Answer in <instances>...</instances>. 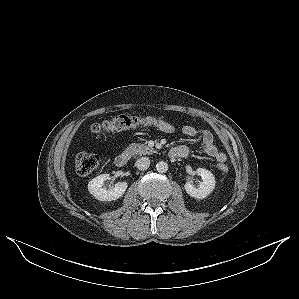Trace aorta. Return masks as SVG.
<instances>
[{
    "label": "aorta",
    "mask_w": 299,
    "mask_h": 299,
    "mask_svg": "<svg viewBox=\"0 0 299 299\" xmlns=\"http://www.w3.org/2000/svg\"><path fill=\"white\" fill-rule=\"evenodd\" d=\"M156 170L160 173H165L168 171V164L164 161H160L156 164Z\"/></svg>",
    "instance_id": "1"
}]
</instances>
